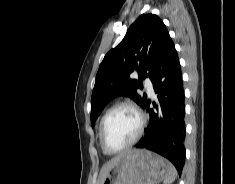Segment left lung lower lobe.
<instances>
[{"label": "left lung lower lobe", "instance_id": "obj_1", "mask_svg": "<svg viewBox=\"0 0 235 184\" xmlns=\"http://www.w3.org/2000/svg\"><path fill=\"white\" fill-rule=\"evenodd\" d=\"M150 79L158 102L153 103L154 109L149 108L150 100L142 105L150 121L136 147L162 155L181 174L185 164L184 91L179 58L170 36L159 49Z\"/></svg>", "mask_w": 235, "mask_h": 184}]
</instances>
